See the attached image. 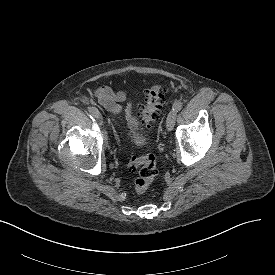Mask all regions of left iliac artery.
<instances>
[{"instance_id":"left-iliac-artery-1","label":"left iliac artery","mask_w":275,"mask_h":275,"mask_svg":"<svg viewBox=\"0 0 275 275\" xmlns=\"http://www.w3.org/2000/svg\"><path fill=\"white\" fill-rule=\"evenodd\" d=\"M182 109V103L180 101H175L173 104V110L178 112Z\"/></svg>"}]
</instances>
